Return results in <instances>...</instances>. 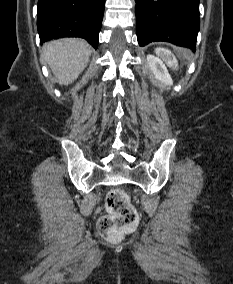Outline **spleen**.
Returning a JSON list of instances; mask_svg holds the SVG:
<instances>
[{
    "label": "spleen",
    "instance_id": "1",
    "mask_svg": "<svg viewBox=\"0 0 233 284\" xmlns=\"http://www.w3.org/2000/svg\"><path fill=\"white\" fill-rule=\"evenodd\" d=\"M155 52L161 57L165 58L170 65L172 66L176 65V61L174 60V56L172 55L170 50L165 48H156ZM171 57H173V60L171 59Z\"/></svg>",
    "mask_w": 233,
    "mask_h": 284
}]
</instances>
